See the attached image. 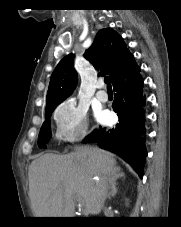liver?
Wrapping results in <instances>:
<instances>
[{"label": "liver", "mask_w": 181, "mask_h": 227, "mask_svg": "<svg viewBox=\"0 0 181 227\" xmlns=\"http://www.w3.org/2000/svg\"><path fill=\"white\" fill-rule=\"evenodd\" d=\"M118 168L112 154L97 147L78 146L66 155L39 156L28 173L34 215L73 217L76 200H82L87 213H100L108 181Z\"/></svg>", "instance_id": "6515ba94"}]
</instances>
